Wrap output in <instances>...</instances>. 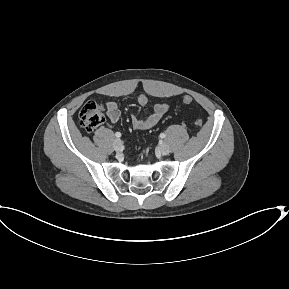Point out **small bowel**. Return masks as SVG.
I'll return each mask as SVG.
<instances>
[{
    "label": "small bowel",
    "mask_w": 289,
    "mask_h": 289,
    "mask_svg": "<svg viewBox=\"0 0 289 289\" xmlns=\"http://www.w3.org/2000/svg\"><path fill=\"white\" fill-rule=\"evenodd\" d=\"M137 103L141 106H145L148 103V98L144 94H140L136 98ZM107 117L109 121L114 124L120 118V110L116 102L109 101L106 103ZM168 106L165 103H156L153 106V111L145 118H138L132 116V126L136 130H147L154 127L167 112Z\"/></svg>",
    "instance_id": "obj_1"
}]
</instances>
